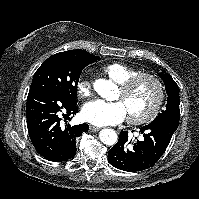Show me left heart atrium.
Listing matches in <instances>:
<instances>
[{
  "label": "left heart atrium",
  "instance_id": "left-heart-atrium-1",
  "mask_svg": "<svg viewBox=\"0 0 199 199\" xmlns=\"http://www.w3.org/2000/svg\"><path fill=\"white\" fill-rule=\"evenodd\" d=\"M126 115L127 111L121 101L106 102L97 99L86 103L82 108L84 120L96 126L120 123Z\"/></svg>",
  "mask_w": 199,
  "mask_h": 199
}]
</instances>
